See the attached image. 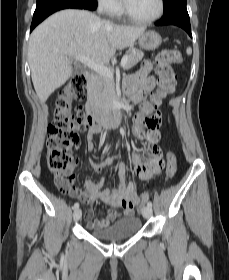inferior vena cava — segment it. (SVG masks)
<instances>
[{"label":"inferior vena cava","mask_w":229,"mask_h":280,"mask_svg":"<svg viewBox=\"0 0 229 280\" xmlns=\"http://www.w3.org/2000/svg\"><path fill=\"white\" fill-rule=\"evenodd\" d=\"M102 10H103V6L100 4V5L98 6V13H101Z\"/></svg>","instance_id":"602c4592"}]
</instances>
